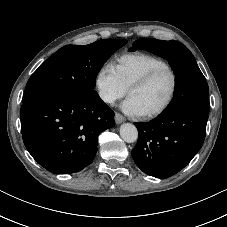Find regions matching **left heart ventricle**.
<instances>
[{
	"label": "left heart ventricle",
	"mask_w": 227,
	"mask_h": 227,
	"mask_svg": "<svg viewBox=\"0 0 227 227\" xmlns=\"http://www.w3.org/2000/svg\"><path fill=\"white\" fill-rule=\"evenodd\" d=\"M173 79L168 71H162L144 87L131 92L132 97L144 113L152 112L161 107L171 92Z\"/></svg>",
	"instance_id": "obj_1"
}]
</instances>
